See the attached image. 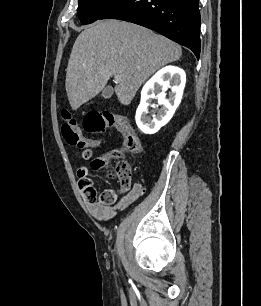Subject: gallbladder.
I'll return each instance as SVG.
<instances>
[{
  "label": "gallbladder",
  "mask_w": 261,
  "mask_h": 306,
  "mask_svg": "<svg viewBox=\"0 0 261 306\" xmlns=\"http://www.w3.org/2000/svg\"><path fill=\"white\" fill-rule=\"evenodd\" d=\"M113 94V88L111 86H107L104 88L102 92V97L105 99H109Z\"/></svg>",
  "instance_id": "obj_1"
}]
</instances>
